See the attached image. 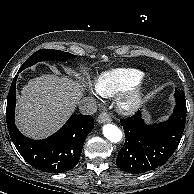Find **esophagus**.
Instances as JSON below:
<instances>
[{
	"label": "esophagus",
	"mask_w": 194,
	"mask_h": 194,
	"mask_svg": "<svg viewBox=\"0 0 194 194\" xmlns=\"http://www.w3.org/2000/svg\"><path fill=\"white\" fill-rule=\"evenodd\" d=\"M110 121H111V117L107 112H102L97 117V122L100 123V124L107 123V122H110Z\"/></svg>",
	"instance_id": "1"
}]
</instances>
